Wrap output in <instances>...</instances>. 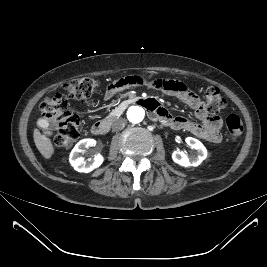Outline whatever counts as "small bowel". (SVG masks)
Here are the masks:
<instances>
[{"label": "small bowel", "mask_w": 267, "mask_h": 267, "mask_svg": "<svg viewBox=\"0 0 267 267\" xmlns=\"http://www.w3.org/2000/svg\"><path fill=\"white\" fill-rule=\"evenodd\" d=\"M144 80L140 76H127L112 82L106 91L105 98L110 99L116 93L143 84ZM152 85L166 94L176 96L184 104L190 107L199 121L193 122L182 116H172L165 108L156 102V115L165 125L175 130H185L193 135L204 139L210 143H219L222 140V120L210 115L206 105L201 98L187 85L177 80L159 79L152 82Z\"/></svg>", "instance_id": "small-bowel-1"}]
</instances>
